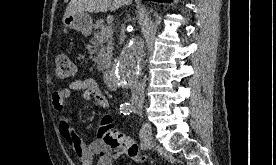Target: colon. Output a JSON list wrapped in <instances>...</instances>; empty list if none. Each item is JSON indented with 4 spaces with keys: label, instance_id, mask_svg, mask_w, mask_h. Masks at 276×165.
Listing matches in <instances>:
<instances>
[{
    "label": "colon",
    "instance_id": "colon-1",
    "mask_svg": "<svg viewBox=\"0 0 276 165\" xmlns=\"http://www.w3.org/2000/svg\"><path fill=\"white\" fill-rule=\"evenodd\" d=\"M75 72V66L67 55L61 54L57 56L55 73L58 79L69 80L74 77ZM98 138L112 149L121 151L131 159L137 161L148 160V156L142 153L132 138L113 126L110 116H105L102 119L98 128Z\"/></svg>",
    "mask_w": 276,
    "mask_h": 165
}]
</instances>
